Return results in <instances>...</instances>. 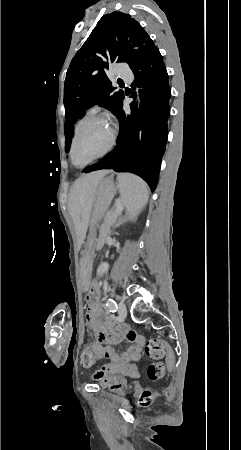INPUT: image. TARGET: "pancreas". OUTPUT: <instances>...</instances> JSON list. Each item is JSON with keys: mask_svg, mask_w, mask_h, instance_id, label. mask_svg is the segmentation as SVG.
<instances>
[{"mask_svg": "<svg viewBox=\"0 0 241 450\" xmlns=\"http://www.w3.org/2000/svg\"><path fill=\"white\" fill-rule=\"evenodd\" d=\"M118 218V214H115V212H107V216H106V220H105V224H106V228L105 227H101L100 231L101 234L96 238V245L93 246L94 250H101V246H104V243H109L110 242V237L106 235V232H112L113 231V224L115 222V220H117ZM106 231V232H105Z\"/></svg>", "mask_w": 241, "mask_h": 450, "instance_id": "cf45deb5", "label": "pancreas"}]
</instances>
